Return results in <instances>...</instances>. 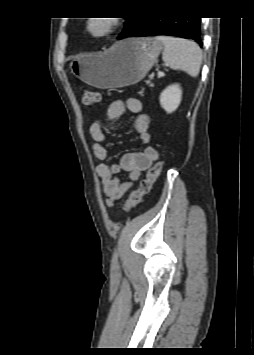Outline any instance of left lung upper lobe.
I'll use <instances>...</instances> for the list:
<instances>
[{
    "mask_svg": "<svg viewBox=\"0 0 254 355\" xmlns=\"http://www.w3.org/2000/svg\"><path fill=\"white\" fill-rule=\"evenodd\" d=\"M136 20H137V18H126V26H125L122 34L127 33L135 25Z\"/></svg>",
    "mask_w": 254,
    "mask_h": 355,
    "instance_id": "obj_1",
    "label": "left lung upper lobe"
}]
</instances>
